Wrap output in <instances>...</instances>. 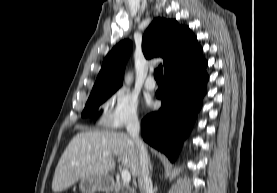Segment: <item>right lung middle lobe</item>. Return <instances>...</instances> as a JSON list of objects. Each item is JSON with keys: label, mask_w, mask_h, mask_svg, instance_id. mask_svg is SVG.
<instances>
[{"label": "right lung middle lobe", "mask_w": 277, "mask_h": 193, "mask_svg": "<svg viewBox=\"0 0 277 193\" xmlns=\"http://www.w3.org/2000/svg\"><path fill=\"white\" fill-rule=\"evenodd\" d=\"M115 91H103L98 93H93L90 95L85 109L82 112V116H90L92 115L108 97H110Z\"/></svg>", "instance_id": "1"}]
</instances>
